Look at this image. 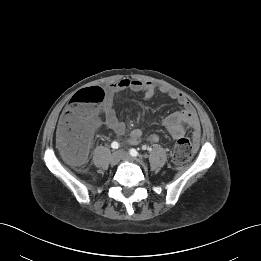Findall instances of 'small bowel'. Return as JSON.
Wrapping results in <instances>:
<instances>
[{"label":"small bowel","instance_id":"c3829d8e","mask_svg":"<svg viewBox=\"0 0 261 261\" xmlns=\"http://www.w3.org/2000/svg\"><path fill=\"white\" fill-rule=\"evenodd\" d=\"M157 89L161 93H164L170 98L176 100L182 106V109L174 111L164 117L161 121L162 125L168 130L171 136L176 139L184 136L186 132L190 130L194 142L198 143L201 136L200 123L192 106L182 93L166 86L157 88L151 82L129 79H122L108 86L106 90V98L101 107L103 118H101L97 112H95L90 118L88 123L89 136H91L101 126L107 127L118 135L124 134L125 124L118 119L113 105L114 97L117 94L125 90L142 92L144 99L149 100L155 95ZM141 138L142 131L140 129H134L130 132L128 140L131 144H137L141 141ZM149 140L152 142H157L159 140L158 134H150Z\"/></svg>","mask_w":261,"mask_h":261}]
</instances>
